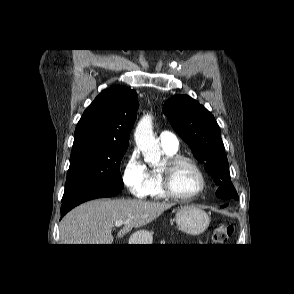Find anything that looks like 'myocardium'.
Listing matches in <instances>:
<instances>
[{"instance_id":"myocardium-1","label":"myocardium","mask_w":294,"mask_h":294,"mask_svg":"<svg viewBox=\"0 0 294 294\" xmlns=\"http://www.w3.org/2000/svg\"><path fill=\"white\" fill-rule=\"evenodd\" d=\"M182 164H188L190 165L198 174L200 178V187L199 189L191 194V195H182L179 194L178 192L175 191L173 184H172V179H173V174L175 170ZM160 175H161V186L164 191V193L175 200H180V201H191L196 199L198 196H200L204 190L206 189L207 185V180L205 173L203 172L202 168L199 166V164L192 158L183 156V155H175L172 157H168L166 160L165 165L160 169Z\"/></svg>"}]
</instances>
